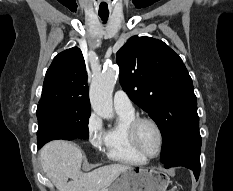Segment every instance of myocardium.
I'll return each instance as SVG.
<instances>
[{
    "mask_svg": "<svg viewBox=\"0 0 233 191\" xmlns=\"http://www.w3.org/2000/svg\"><path fill=\"white\" fill-rule=\"evenodd\" d=\"M143 123L151 124L156 129L157 134H158V150H157L156 154L153 156L146 155L139 145L138 131H139L140 126ZM128 136H129V140H130L133 148L135 149V151L139 155H141L143 158H145L146 160L155 159L160 155V153L162 151V147H163V132H162V129H161L160 125L158 124V122L156 120H154L153 118H150V117H137V118H135L128 125Z\"/></svg>",
    "mask_w": 233,
    "mask_h": 191,
    "instance_id": "f54148a6",
    "label": "myocardium"
}]
</instances>
